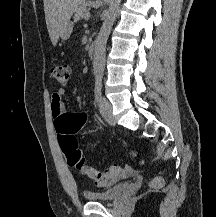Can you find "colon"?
<instances>
[{
	"mask_svg": "<svg viewBox=\"0 0 216 217\" xmlns=\"http://www.w3.org/2000/svg\"><path fill=\"white\" fill-rule=\"evenodd\" d=\"M51 75L59 84L64 85L69 80L70 68L64 63L55 64L51 68ZM87 119V114L84 112L64 114L56 123L58 142L69 166L94 179L97 185L109 186L124 173V170L118 165L97 170L85 164L75 134L87 123ZM133 155L136 153L133 152ZM162 182L161 177H155L151 181V186L159 187Z\"/></svg>",
	"mask_w": 216,
	"mask_h": 217,
	"instance_id": "5ec220e1",
	"label": "colon"
}]
</instances>
